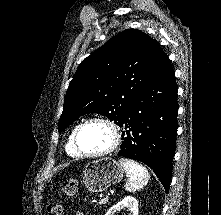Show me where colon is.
Returning a JSON list of instances; mask_svg holds the SVG:
<instances>
[{"mask_svg": "<svg viewBox=\"0 0 221 215\" xmlns=\"http://www.w3.org/2000/svg\"><path fill=\"white\" fill-rule=\"evenodd\" d=\"M78 190L77 181L74 178H68L63 184V191L68 196H73ZM64 209L61 204L53 203L48 207V215H63Z\"/></svg>", "mask_w": 221, "mask_h": 215, "instance_id": "5ec220e1", "label": "colon"}]
</instances>
